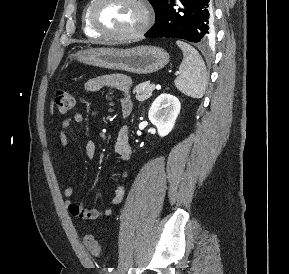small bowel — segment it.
<instances>
[{
	"instance_id": "c3829d8e",
	"label": "small bowel",
	"mask_w": 289,
	"mask_h": 274,
	"mask_svg": "<svg viewBox=\"0 0 289 274\" xmlns=\"http://www.w3.org/2000/svg\"><path fill=\"white\" fill-rule=\"evenodd\" d=\"M131 87V79L122 74H112L93 77L87 80L84 84V91L96 92L103 88L117 89L121 92V105L125 114L129 113L132 107V103L129 96V90ZM84 119L83 113L75 111L69 118L64 120L60 128V145L66 150L68 147V132L73 124L81 123ZM96 144L94 141L89 140L86 142L84 151L88 158H93L96 155ZM114 150L119 156L122 163H126L130 159V146H129V130L127 126H122L117 134ZM128 175L127 170H123L121 173V183L115 188L114 195L109 201V205L104 208H87L81 202L73 200L74 190L72 186H67L64 189V196L66 198L67 207L76 218L83 220H98L107 218L112 215V207L119 204L125 193L123 186V180Z\"/></svg>"
}]
</instances>
